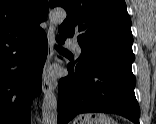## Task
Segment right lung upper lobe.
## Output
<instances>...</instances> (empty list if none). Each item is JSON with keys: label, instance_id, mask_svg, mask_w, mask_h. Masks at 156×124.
Masks as SVG:
<instances>
[{"label": "right lung upper lobe", "instance_id": "right-lung-upper-lobe-1", "mask_svg": "<svg viewBox=\"0 0 156 124\" xmlns=\"http://www.w3.org/2000/svg\"><path fill=\"white\" fill-rule=\"evenodd\" d=\"M48 10L45 0H0V45L35 35Z\"/></svg>", "mask_w": 156, "mask_h": 124}]
</instances>
